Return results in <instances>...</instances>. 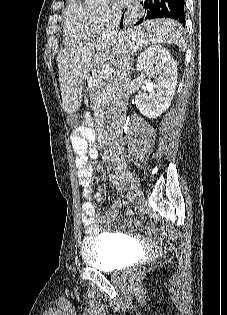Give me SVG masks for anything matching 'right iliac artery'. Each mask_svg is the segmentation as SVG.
Wrapping results in <instances>:
<instances>
[{
    "mask_svg": "<svg viewBox=\"0 0 227 315\" xmlns=\"http://www.w3.org/2000/svg\"><path fill=\"white\" fill-rule=\"evenodd\" d=\"M109 179L112 182L113 185L120 186L121 185V179L120 177L116 176L115 174L109 175Z\"/></svg>",
    "mask_w": 227,
    "mask_h": 315,
    "instance_id": "1",
    "label": "right iliac artery"
}]
</instances>
